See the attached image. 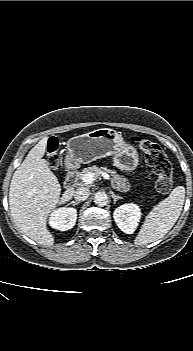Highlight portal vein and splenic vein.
Segmentation results:
<instances>
[{"mask_svg":"<svg viewBox=\"0 0 193 351\" xmlns=\"http://www.w3.org/2000/svg\"><path fill=\"white\" fill-rule=\"evenodd\" d=\"M101 176H102L104 179H106V180H109V179H110L109 174H107L106 172H102V173H101ZM94 180H95V177H94V174H93V173L84 174L83 177H82V181H83V183H85V184H91V183H93Z\"/></svg>","mask_w":193,"mask_h":351,"instance_id":"portal-vein-and-splenic-vein-1","label":"portal vein and splenic vein"}]
</instances>
